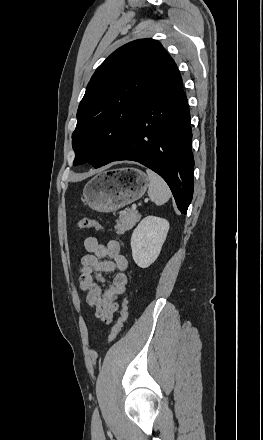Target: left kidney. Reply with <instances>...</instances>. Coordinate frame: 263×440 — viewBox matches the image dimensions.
Listing matches in <instances>:
<instances>
[{
	"mask_svg": "<svg viewBox=\"0 0 263 440\" xmlns=\"http://www.w3.org/2000/svg\"><path fill=\"white\" fill-rule=\"evenodd\" d=\"M169 230L165 219L147 216L141 220L131 236L132 257L141 268L149 267L160 254Z\"/></svg>",
	"mask_w": 263,
	"mask_h": 440,
	"instance_id": "left-kidney-1",
	"label": "left kidney"
}]
</instances>
